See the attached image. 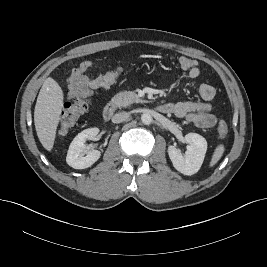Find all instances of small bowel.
Instances as JSON below:
<instances>
[{"mask_svg":"<svg viewBox=\"0 0 267 267\" xmlns=\"http://www.w3.org/2000/svg\"><path fill=\"white\" fill-rule=\"evenodd\" d=\"M200 75L198 67L188 71L186 78L195 79ZM101 74L94 72L91 61H83L75 67L67 79L66 99L76 95L90 97L99 88ZM201 101H182L168 103L172 107L171 113L184 118L201 128H210L216 124V116L212 113L210 102L215 97V89L209 84H201L198 88Z\"/></svg>","mask_w":267,"mask_h":267,"instance_id":"c3829d8e","label":"small bowel"}]
</instances>
